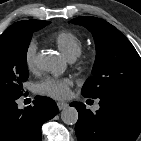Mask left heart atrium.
Wrapping results in <instances>:
<instances>
[{
  "instance_id": "left-heart-atrium-1",
  "label": "left heart atrium",
  "mask_w": 141,
  "mask_h": 141,
  "mask_svg": "<svg viewBox=\"0 0 141 141\" xmlns=\"http://www.w3.org/2000/svg\"><path fill=\"white\" fill-rule=\"evenodd\" d=\"M71 81L69 79H56L45 77L35 85L37 93L55 99H63L69 95Z\"/></svg>"
}]
</instances>
